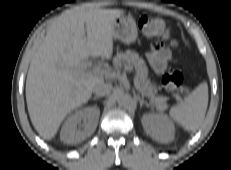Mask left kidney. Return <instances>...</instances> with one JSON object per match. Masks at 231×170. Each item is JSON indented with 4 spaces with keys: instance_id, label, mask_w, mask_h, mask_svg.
<instances>
[{
    "instance_id": "5707ae66",
    "label": "left kidney",
    "mask_w": 231,
    "mask_h": 170,
    "mask_svg": "<svg viewBox=\"0 0 231 170\" xmlns=\"http://www.w3.org/2000/svg\"><path fill=\"white\" fill-rule=\"evenodd\" d=\"M142 125L147 134L161 143H168L174 139L175 126L164 114L147 113L142 117Z\"/></svg>"
}]
</instances>
